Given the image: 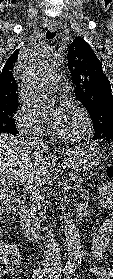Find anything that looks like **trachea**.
I'll return each mask as SVG.
<instances>
[{
    "instance_id": "trachea-1",
    "label": "trachea",
    "mask_w": 113,
    "mask_h": 279,
    "mask_svg": "<svg viewBox=\"0 0 113 279\" xmlns=\"http://www.w3.org/2000/svg\"><path fill=\"white\" fill-rule=\"evenodd\" d=\"M55 35H56V31L48 30L46 33V38L50 40V39H53L55 37Z\"/></svg>"
}]
</instances>
